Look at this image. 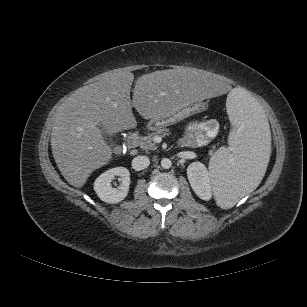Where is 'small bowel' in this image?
<instances>
[{
    "label": "small bowel",
    "instance_id": "1",
    "mask_svg": "<svg viewBox=\"0 0 307 307\" xmlns=\"http://www.w3.org/2000/svg\"><path fill=\"white\" fill-rule=\"evenodd\" d=\"M186 134L181 143L188 147L207 145L218 133L219 124L214 119L192 121L185 126Z\"/></svg>",
    "mask_w": 307,
    "mask_h": 307
}]
</instances>
